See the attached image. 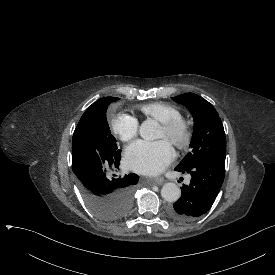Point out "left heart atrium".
I'll list each match as a JSON object with an SVG mask.
<instances>
[{"label": "left heart atrium", "instance_id": "obj_1", "mask_svg": "<svg viewBox=\"0 0 275 275\" xmlns=\"http://www.w3.org/2000/svg\"><path fill=\"white\" fill-rule=\"evenodd\" d=\"M174 158V150L167 140L140 141L126 150V162L137 172L155 174Z\"/></svg>", "mask_w": 275, "mask_h": 275}]
</instances>
